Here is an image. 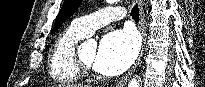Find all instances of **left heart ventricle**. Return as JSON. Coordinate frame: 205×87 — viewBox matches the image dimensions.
<instances>
[{"instance_id": "1", "label": "left heart ventricle", "mask_w": 205, "mask_h": 87, "mask_svg": "<svg viewBox=\"0 0 205 87\" xmlns=\"http://www.w3.org/2000/svg\"><path fill=\"white\" fill-rule=\"evenodd\" d=\"M96 53H97L96 47L88 48V49H81L80 51V55L83 61L89 64L90 66H93Z\"/></svg>"}]
</instances>
